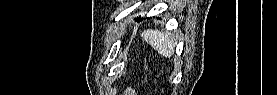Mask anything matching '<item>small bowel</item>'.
<instances>
[{"label":"small bowel","mask_w":277,"mask_h":95,"mask_svg":"<svg viewBox=\"0 0 277 95\" xmlns=\"http://www.w3.org/2000/svg\"><path fill=\"white\" fill-rule=\"evenodd\" d=\"M124 94L130 95L133 94V91L131 90V88H127Z\"/></svg>","instance_id":"small-bowel-1"}]
</instances>
